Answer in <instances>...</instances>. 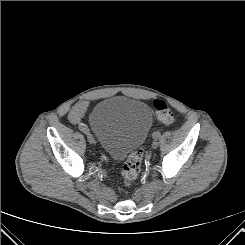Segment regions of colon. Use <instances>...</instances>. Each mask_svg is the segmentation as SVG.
<instances>
[{
	"instance_id": "obj_1",
	"label": "colon",
	"mask_w": 245,
	"mask_h": 245,
	"mask_svg": "<svg viewBox=\"0 0 245 245\" xmlns=\"http://www.w3.org/2000/svg\"><path fill=\"white\" fill-rule=\"evenodd\" d=\"M153 106L155 108L156 115L161 122L165 124H172L175 122L173 113L163 100H154ZM142 158L143 151L141 148H138L129 154L121 170V176L125 186L132 185V183L138 177L141 169Z\"/></svg>"
}]
</instances>
